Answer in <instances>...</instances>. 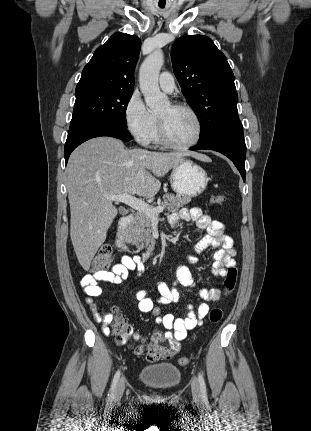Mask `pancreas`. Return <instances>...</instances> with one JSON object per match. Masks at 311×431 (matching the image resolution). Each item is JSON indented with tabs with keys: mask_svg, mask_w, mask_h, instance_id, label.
Instances as JSON below:
<instances>
[{
	"mask_svg": "<svg viewBox=\"0 0 311 431\" xmlns=\"http://www.w3.org/2000/svg\"><path fill=\"white\" fill-rule=\"evenodd\" d=\"M191 202V198L187 196H174V194H164L163 202H159L160 206H164L167 212H178L180 208ZM158 202H154L153 208ZM151 217L143 212H136L134 219L125 229V241L136 245L137 249H147L153 251L155 249L156 239L151 233Z\"/></svg>",
	"mask_w": 311,
	"mask_h": 431,
	"instance_id": "pancreas-1",
	"label": "pancreas"
}]
</instances>
